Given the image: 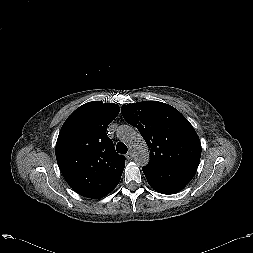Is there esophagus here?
I'll return each instance as SVG.
<instances>
[{
  "label": "esophagus",
  "mask_w": 253,
  "mask_h": 253,
  "mask_svg": "<svg viewBox=\"0 0 253 253\" xmlns=\"http://www.w3.org/2000/svg\"><path fill=\"white\" fill-rule=\"evenodd\" d=\"M132 157H133V152L130 150V151H128V153L126 155V158L131 159Z\"/></svg>",
  "instance_id": "esophagus-1"
}]
</instances>
